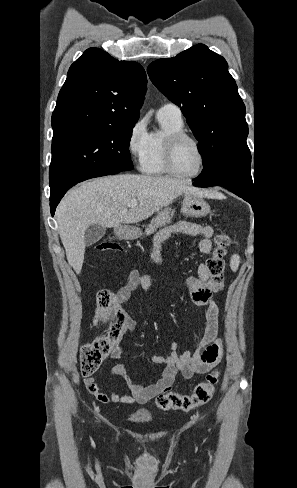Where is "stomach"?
<instances>
[{
	"label": "stomach",
	"mask_w": 297,
	"mask_h": 488,
	"mask_svg": "<svg viewBox=\"0 0 297 488\" xmlns=\"http://www.w3.org/2000/svg\"><path fill=\"white\" fill-rule=\"evenodd\" d=\"M181 211L185 216L201 218L207 216L211 212V208L201 196L185 193ZM115 233L118 237L127 240L138 238L141 235L139 228L131 226H120L115 229Z\"/></svg>",
	"instance_id": "stomach-1"
}]
</instances>
